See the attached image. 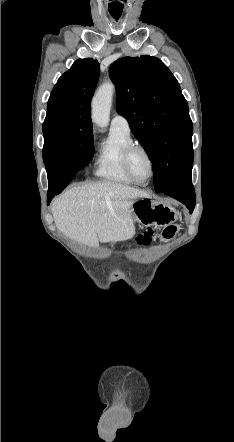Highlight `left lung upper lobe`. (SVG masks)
I'll return each instance as SVG.
<instances>
[{
  "instance_id": "5c2ea615",
  "label": "left lung upper lobe",
  "mask_w": 234,
  "mask_h": 442,
  "mask_svg": "<svg viewBox=\"0 0 234 442\" xmlns=\"http://www.w3.org/2000/svg\"><path fill=\"white\" fill-rule=\"evenodd\" d=\"M117 111L152 161L154 186L162 192L193 164V126L180 86L158 58L143 55L115 61Z\"/></svg>"
}]
</instances>
